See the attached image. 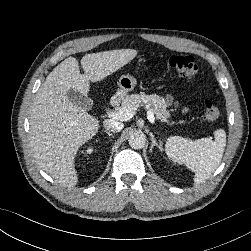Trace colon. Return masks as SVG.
<instances>
[{
	"mask_svg": "<svg viewBox=\"0 0 251 251\" xmlns=\"http://www.w3.org/2000/svg\"><path fill=\"white\" fill-rule=\"evenodd\" d=\"M169 66L178 74L186 78H194L198 71V65L191 56L173 55L169 58ZM220 115L219 108L209 100L204 102V117L208 121L216 120Z\"/></svg>",
	"mask_w": 251,
	"mask_h": 251,
	"instance_id": "obj_1",
	"label": "colon"
}]
</instances>
